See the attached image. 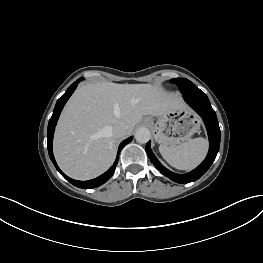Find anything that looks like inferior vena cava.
<instances>
[{
	"label": "inferior vena cava",
	"instance_id": "602c4592",
	"mask_svg": "<svg viewBox=\"0 0 263 263\" xmlns=\"http://www.w3.org/2000/svg\"><path fill=\"white\" fill-rule=\"evenodd\" d=\"M112 133L113 136L116 138H123L126 135V126L124 123L122 122H118L116 123L113 127H112Z\"/></svg>",
	"mask_w": 263,
	"mask_h": 263
}]
</instances>
